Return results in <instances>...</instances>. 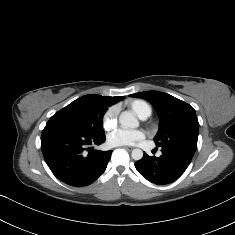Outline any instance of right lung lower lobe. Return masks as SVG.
<instances>
[{"instance_id":"98d812e1","label":"right lung lower lobe","mask_w":235,"mask_h":235,"mask_svg":"<svg viewBox=\"0 0 235 235\" xmlns=\"http://www.w3.org/2000/svg\"><path fill=\"white\" fill-rule=\"evenodd\" d=\"M104 141L105 136L96 137L69 125L48 121L42 132L41 149L48 167L59 180L83 187L106 170L112 151L90 147Z\"/></svg>"}]
</instances>
